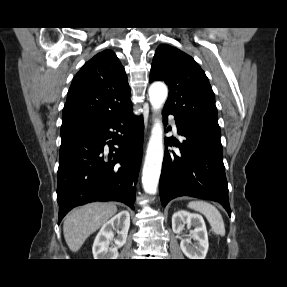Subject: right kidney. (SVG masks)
Wrapping results in <instances>:
<instances>
[{
  "mask_svg": "<svg viewBox=\"0 0 287 287\" xmlns=\"http://www.w3.org/2000/svg\"><path fill=\"white\" fill-rule=\"evenodd\" d=\"M130 227V214L121 211L109 221H107L93 243L92 252L94 259H117L118 249L126 243L128 230ZM114 231L117 237H114ZM114 241V244L111 242ZM112 245L109 247V245Z\"/></svg>",
  "mask_w": 287,
  "mask_h": 287,
  "instance_id": "1",
  "label": "right kidney"
}]
</instances>
